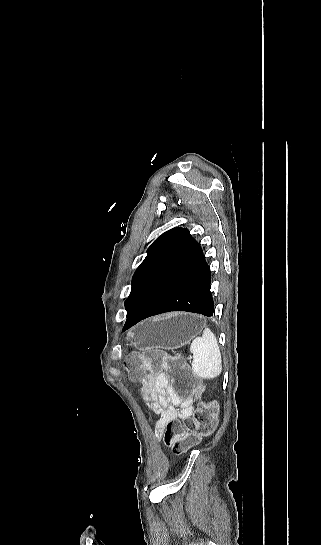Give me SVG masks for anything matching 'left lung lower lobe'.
I'll use <instances>...</instances> for the list:
<instances>
[{"mask_svg":"<svg viewBox=\"0 0 321 545\" xmlns=\"http://www.w3.org/2000/svg\"><path fill=\"white\" fill-rule=\"evenodd\" d=\"M210 268L200 245L184 229L172 251L149 280L127 313L123 330L164 312L188 311L213 315Z\"/></svg>","mask_w":321,"mask_h":545,"instance_id":"1","label":"left lung lower lobe"}]
</instances>
